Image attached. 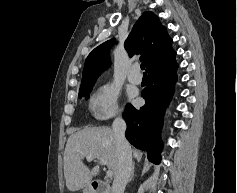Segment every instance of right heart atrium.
Returning a JSON list of instances; mask_svg holds the SVG:
<instances>
[{
    "mask_svg": "<svg viewBox=\"0 0 237 193\" xmlns=\"http://www.w3.org/2000/svg\"><path fill=\"white\" fill-rule=\"evenodd\" d=\"M118 90L105 84L99 87L90 99V108L93 115L100 120L116 117L120 114L118 105Z\"/></svg>",
    "mask_w": 237,
    "mask_h": 193,
    "instance_id": "1",
    "label": "right heart atrium"
}]
</instances>
